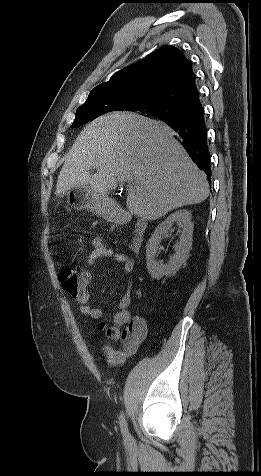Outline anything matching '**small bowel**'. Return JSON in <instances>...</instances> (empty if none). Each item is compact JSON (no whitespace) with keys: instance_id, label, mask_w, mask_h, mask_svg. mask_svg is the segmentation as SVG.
Wrapping results in <instances>:
<instances>
[{"instance_id":"c3829d8e","label":"small bowel","mask_w":261,"mask_h":476,"mask_svg":"<svg viewBox=\"0 0 261 476\" xmlns=\"http://www.w3.org/2000/svg\"><path fill=\"white\" fill-rule=\"evenodd\" d=\"M93 250L87 257V264L92 265L95 261L111 258L119 262L126 274H131L134 270L133 260L123 253H117L104 245L99 237L93 239ZM88 276L89 281L91 275L89 272H83ZM89 281L82 286L72 297L80 306V311L84 315L90 316L92 319H100L102 311L99 307L89 305L90 292L87 289ZM132 283L122 295L118 311L114 317L116 328L112 329L117 332V336L122 341V348L115 349L110 345H104L100 349L101 359L109 366H117L123 364L127 359L135 354L142 341L145 339L148 331L146 320L140 316H132L128 307L131 303ZM120 328H123L120 330Z\"/></svg>"}]
</instances>
